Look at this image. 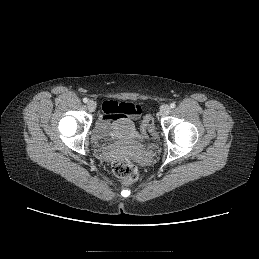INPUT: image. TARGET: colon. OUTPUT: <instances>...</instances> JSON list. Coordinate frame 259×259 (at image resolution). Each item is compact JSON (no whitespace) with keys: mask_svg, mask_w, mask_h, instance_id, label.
<instances>
[{"mask_svg":"<svg viewBox=\"0 0 259 259\" xmlns=\"http://www.w3.org/2000/svg\"><path fill=\"white\" fill-rule=\"evenodd\" d=\"M126 109L129 111V107L126 106ZM151 117L146 116L142 122V132L144 134L150 129ZM112 168L114 174L123 182V183H132L134 182L139 175L137 166L125 156L118 155L114 158L112 162Z\"/></svg>","mask_w":259,"mask_h":259,"instance_id":"obj_1","label":"colon"}]
</instances>
